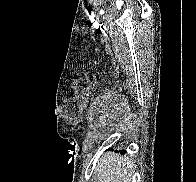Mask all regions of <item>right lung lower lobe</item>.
<instances>
[{
  "label": "right lung lower lobe",
  "mask_w": 196,
  "mask_h": 182,
  "mask_svg": "<svg viewBox=\"0 0 196 182\" xmlns=\"http://www.w3.org/2000/svg\"><path fill=\"white\" fill-rule=\"evenodd\" d=\"M120 152H121V154H124V153H126V151H125V150H121Z\"/></svg>",
  "instance_id": "right-lung-lower-lobe-1"
}]
</instances>
